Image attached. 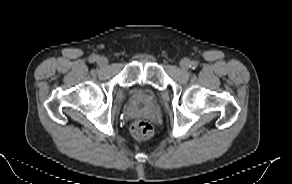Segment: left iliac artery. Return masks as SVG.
Segmentation results:
<instances>
[{"label":"left iliac artery","mask_w":292,"mask_h":184,"mask_svg":"<svg viewBox=\"0 0 292 184\" xmlns=\"http://www.w3.org/2000/svg\"><path fill=\"white\" fill-rule=\"evenodd\" d=\"M197 62H195V61H192L191 63H190V67L192 68V69H195L196 67H197Z\"/></svg>","instance_id":"1"}]
</instances>
